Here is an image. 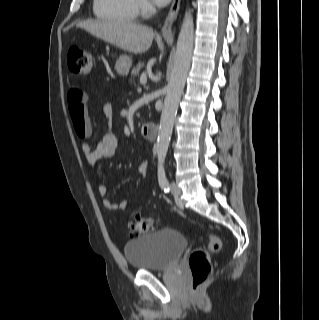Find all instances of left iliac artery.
I'll return each instance as SVG.
<instances>
[{"label":"left iliac artery","mask_w":319,"mask_h":320,"mask_svg":"<svg viewBox=\"0 0 319 320\" xmlns=\"http://www.w3.org/2000/svg\"><path fill=\"white\" fill-rule=\"evenodd\" d=\"M158 180L159 185L164 190L165 193L169 192V182L165 174V169L163 166L158 167Z\"/></svg>","instance_id":"1"}]
</instances>
